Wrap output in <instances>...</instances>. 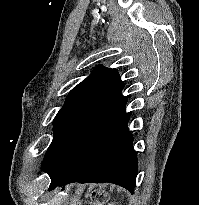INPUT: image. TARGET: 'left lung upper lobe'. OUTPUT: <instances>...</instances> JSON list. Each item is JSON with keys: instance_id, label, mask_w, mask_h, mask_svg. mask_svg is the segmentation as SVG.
I'll return each mask as SVG.
<instances>
[{"instance_id": "1", "label": "left lung upper lobe", "mask_w": 199, "mask_h": 205, "mask_svg": "<svg viewBox=\"0 0 199 205\" xmlns=\"http://www.w3.org/2000/svg\"><path fill=\"white\" fill-rule=\"evenodd\" d=\"M123 87L116 69L99 65L70 91L54 118L53 141L42 163L51 180L66 174L89 135L125 100Z\"/></svg>"}]
</instances>
